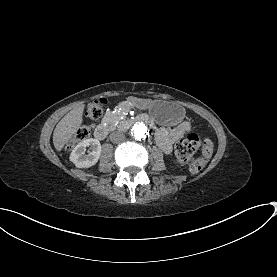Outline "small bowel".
Here are the masks:
<instances>
[{"label":"small bowel","mask_w":277,"mask_h":277,"mask_svg":"<svg viewBox=\"0 0 277 277\" xmlns=\"http://www.w3.org/2000/svg\"><path fill=\"white\" fill-rule=\"evenodd\" d=\"M191 130V124L183 121L173 128L160 127L156 130L155 140L164 153H170L174 143L184 137Z\"/></svg>","instance_id":"obj_1"}]
</instances>
